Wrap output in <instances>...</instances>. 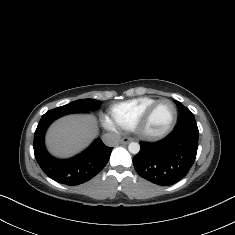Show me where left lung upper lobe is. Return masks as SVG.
<instances>
[{"instance_id": "left-lung-upper-lobe-1", "label": "left lung upper lobe", "mask_w": 235, "mask_h": 235, "mask_svg": "<svg viewBox=\"0 0 235 235\" xmlns=\"http://www.w3.org/2000/svg\"><path fill=\"white\" fill-rule=\"evenodd\" d=\"M175 102L179 109V118H178V123L174 129L191 128V129L198 130L194 114L184 105H182L180 102L178 101H175Z\"/></svg>"}]
</instances>
